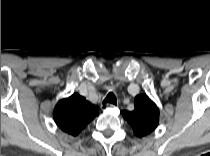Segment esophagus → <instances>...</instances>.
<instances>
[{
  "label": "esophagus",
  "mask_w": 210,
  "mask_h": 156,
  "mask_svg": "<svg viewBox=\"0 0 210 156\" xmlns=\"http://www.w3.org/2000/svg\"><path fill=\"white\" fill-rule=\"evenodd\" d=\"M101 109L102 110H108L109 108H115V105L114 104H109V103H103L101 104Z\"/></svg>",
  "instance_id": "34e87169"
}]
</instances>
